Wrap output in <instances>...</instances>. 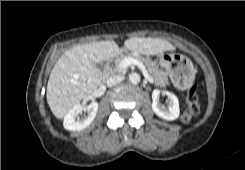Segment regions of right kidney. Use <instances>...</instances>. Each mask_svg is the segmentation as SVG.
<instances>
[{"mask_svg":"<svg viewBox=\"0 0 245 170\" xmlns=\"http://www.w3.org/2000/svg\"><path fill=\"white\" fill-rule=\"evenodd\" d=\"M83 109H85L87 115L80 117ZM97 110V102H91L86 107L82 106L80 103L74 105L64 117V128L69 131L83 130L92 123V121L96 117Z\"/></svg>","mask_w":245,"mask_h":170,"instance_id":"ca27d5eb","label":"right kidney"}]
</instances>
